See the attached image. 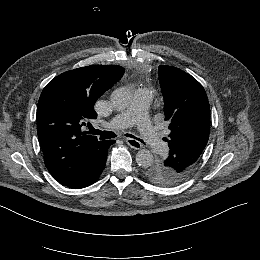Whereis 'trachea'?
I'll return each mask as SVG.
<instances>
[{"label": "trachea", "mask_w": 260, "mask_h": 260, "mask_svg": "<svg viewBox=\"0 0 260 260\" xmlns=\"http://www.w3.org/2000/svg\"><path fill=\"white\" fill-rule=\"evenodd\" d=\"M89 133L94 134V135H99L101 140L111 139V138H114V137L117 136L114 132L101 131V130L93 128L92 126H89ZM125 136L129 137V138L136 139V140L140 141L141 143H144V141L142 139L137 138L132 134H125Z\"/></svg>", "instance_id": "3493384b"}]
</instances>
